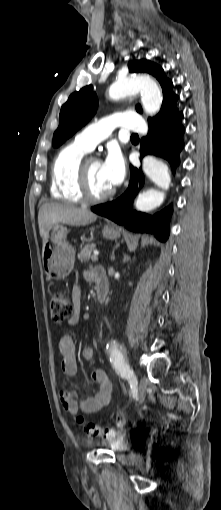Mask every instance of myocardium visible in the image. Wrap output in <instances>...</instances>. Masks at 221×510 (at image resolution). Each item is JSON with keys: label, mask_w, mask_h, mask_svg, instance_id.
<instances>
[{"label": "myocardium", "mask_w": 221, "mask_h": 510, "mask_svg": "<svg viewBox=\"0 0 221 510\" xmlns=\"http://www.w3.org/2000/svg\"><path fill=\"white\" fill-rule=\"evenodd\" d=\"M93 159L97 160L96 158L93 157H85L79 163L76 175V187L80 199L83 202L90 204H98L111 199L115 194V190L112 189L111 191L100 196L92 195L89 189L88 164Z\"/></svg>", "instance_id": "f54148a6"}]
</instances>
